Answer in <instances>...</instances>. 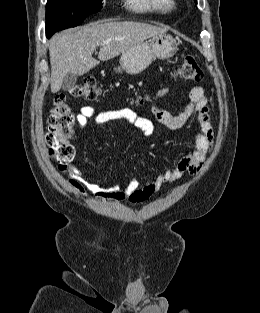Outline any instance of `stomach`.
Wrapping results in <instances>:
<instances>
[{"mask_svg":"<svg viewBox=\"0 0 260 313\" xmlns=\"http://www.w3.org/2000/svg\"><path fill=\"white\" fill-rule=\"evenodd\" d=\"M178 50L176 39L170 34H160L152 37L148 41L140 42L120 56V66L115 70L126 72L131 75L144 71L153 60L168 59Z\"/></svg>","mask_w":260,"mask_h":313,"instance_id":"0dacf381","label":"stomach"}]
</instances>
